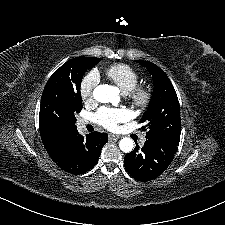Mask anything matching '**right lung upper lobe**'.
Segmentation results:
<instances>
[{
  "instance_id": "cb5924a9",
  "label": "right lung upper lobe",
  "mask_w": 225,
  "mask_h": 225,
  "mask_svg": "<svg viewBox=\"0 0 225 225\" xmlns=\"http://www.w3.org/2000/svg\"><path fill=\"white\" fill-rule=\"evenodd\" d=\"M84 57H77L67 61L64 65L58 68L52 75L60 76L71 74L82 64ZM77 132V129L65 132V133H52L40 129V135L43 142V145L49 154V156L56 160L64 152L66 148L67 141L69 138Z\"/></svg>"
}]
</instances>
